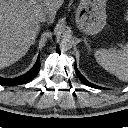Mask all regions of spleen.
<instances>
[{
	"label": "spleen",
	"instance_id": "3e777b00",
	"mask_svg": "<svg viewBox=\"0 0 128 128\" xmlns=\"http://www.w3.org/2000/svg\"><path fill=\"white\" fill-rule=\"evenodd\" d=\"M95 58L105 70L122 81H128V44L123 50L99 49L95 52Z\"/></svg>",
	"mask_w": 128,
	"mask_h": 128
}]
</instances>
